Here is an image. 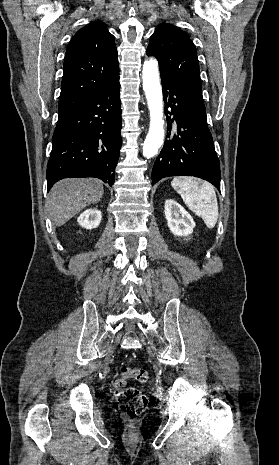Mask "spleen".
<instances>
[{"label": "spleen", "mask_w": 279, "mask_h": 465, "mask_svg": "<svg viewBox=\"0 0 279 465\" xmlns=\"http://www.w3.org/2000/svg\"><path fill=\"white\" fill-rule=\"evenodd\" d=\"M171 185L181 195L188 208L200 216L209 229L216 225L218 202L212 185L193 177H176Z\"/></svg>", "instance_id": "spleen-1"}]
</instances>
